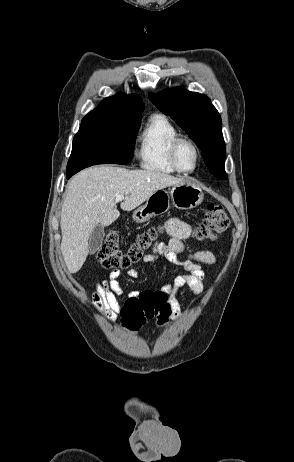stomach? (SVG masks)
<instances>
[{"mask_svg": "<svg viewBox=\"0 0 294 462\" xmlns=\"http://www.w3.org/2000/svg\"><path fill=\"white\" fill-rule=\"evenodd\" d=\"M202 189L190 181H184L173 185L170 191L158 190L154 192L146 203L133 212V220L136 223H144L152 217L167 212L170 201L178 209H192L203 201Z\"/></svg>", "mask_w": 294, "mask_h": 462, "instance_id": "0dacf381", "label": "stomach"}]
</instances>
